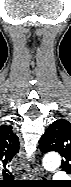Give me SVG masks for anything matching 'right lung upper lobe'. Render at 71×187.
Here are the masks:
<instances>
[{
	"label": "right lung upper lobe",
	"mask_w": 71,
	"mask_h": 187,
	"mask_svg": "<svg viewBox=\"0 0 71 187\" xmlns=\"http://www.w3.org/2000/svg\"><path fill=\"white\" fill-rule=\"evenodd\" d=\"M19 152V139L12 131V126H0V157L4 164H9Z\"/></svg>",
	"instance_id": "right-lung-upper-lobe-1"
}]
</instances>
